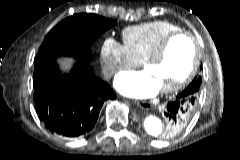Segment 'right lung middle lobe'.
<instances>
[{
	"instance_id": "obj_1",
	"label": "right lung middle lobe",
	"mask_w": 240,
	"mask_h": 160,
	"mask_svg": "<svg viewBox=\"0 0 240 160\" xmlns=\"http://www.w3.org/2000/svg\"><path fill=\"white\" fill-rule=\"evenodd\" d=\"M116 21L96 14H75L59 22L41 44L35 64L62 55L75 56L80 64L89 65L90 45L113 27Z\"/></svg>"
}]
</instances>
